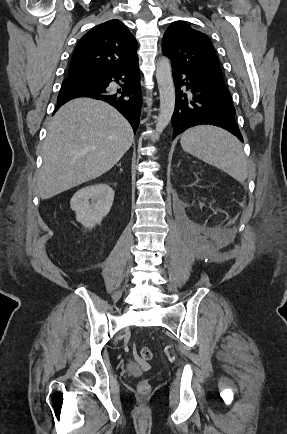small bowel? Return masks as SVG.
<instances>
[{"label":"small bowel","mask_w":287,"mask_h":434,"mask_svg":"<svg viewBox=\"0 0 287 434\" xmlns=\"http://www.w3.org/2000/svg\"><path fill=\"white\" fill-rule=\"evenodd\" d=\"M142 367H145V364H141Z\"/></svg>","instance_id":"small-bowel-1"}]
</instances>
